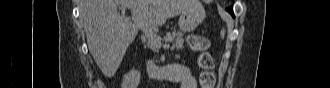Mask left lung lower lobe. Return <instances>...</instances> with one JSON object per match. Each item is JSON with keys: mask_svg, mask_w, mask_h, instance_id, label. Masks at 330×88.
I'll return each instance as SVG.
<instances>
[{"mask_svg": "<svg viewBox=\"0 0 330 88\" xmlns=\"http://www.w3.org/2000/svg\"><path fill=\"white\" fill-rule=\"evenodd\" d=\"M227 11H228L231 15H233V9H232V7L227 8ZM233 16H234V15H233Z\"/></svg>", "mask_w": 330, "mask_h": 88, "instance_id": "1", "label": "left lung lower lobe"}]
</instances>
